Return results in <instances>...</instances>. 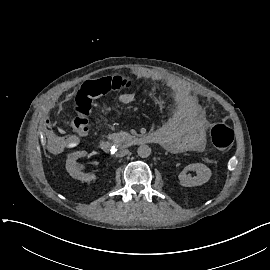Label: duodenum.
<instances>
[{"instance_id":"1","label":"duodenum","mask_w":270,"mask_h":270,"mask_svg":"<svg viewBox=\"0 0 270 270\" xmlns=\"http://www.w3.org/2000/svg\"><path fill=\"white\" fill-rule=\"evenodd\" d=\"M130 142L133 145L141 146L146 144H160L161 140L154 132L142 136H134L130 139ZM100 148L103 152L111 154L115 149V144L111 140L105 139L101 141Z\"/></svg>"}]
</instances>
